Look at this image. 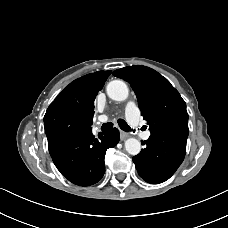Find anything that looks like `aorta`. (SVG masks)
Instances as JSON below:
<instances>
[{
  "label": "aorta",
  "mask_w": 228,
  "mask_h": 228,
  "mask_svg": "<svg viewBox=\"0 0 228 228\" xmlns=\"http://www.w3.org/2000/svg\"><path fill=\"white\" fill-rule=\"evenodd\" d=\"M106 91L107 95L115 101H124L129 94L127 85L121 80L109 82ZM125 149L133 156L138 155L141 151V143L135 138H129L125 141Z\"/></svg>",
  "instance_id": "obj_1"
}]
</instances>
